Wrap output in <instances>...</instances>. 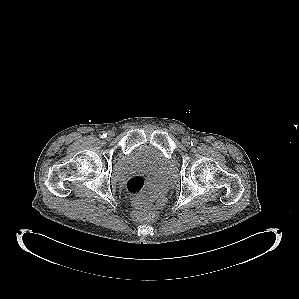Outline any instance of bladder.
<instances>
[{
  "label": "bladder",
  "instance_id": "1",
  "mask_svg": "<svg viewBox=\"0 0 299 299\" xmlns=\"http://www.w3.org/2000/svg\"><path fill=\"white\" fill-rule=\"evenodd\" d=\"M141 165H153L167 171L169 169V159L158 147L149 143H140L133 146L124 155L122 160L116 165L115 170L122 177Z\"/></svg>",
  "mask_w": 299,
  "mask_h": 299
}]
</instances>
